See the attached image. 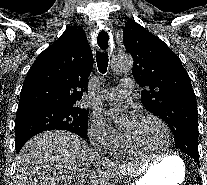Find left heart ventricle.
Instances as JSON below:
<instances>
[{
  "label": "left heart ventricle",
  "instance_id": "obj_1",
  "mask_svg": "<svg viewBox=\"0 0 207 185\" xmlns=\"http://www.w3.org/2000/svg\"><path fill=\"white\" fill-rule=\"evenodd\" d=\"M125 134L131 146L142 152L159 153L167 144L163 128L153 120L138 119L135 123H129L125 128Z\"/></svg>",
  "mask_w": 207,
  "mask_h": 185
}]
</instances>
